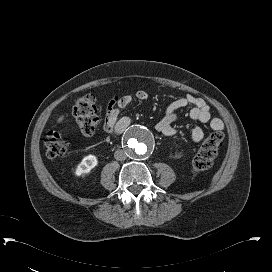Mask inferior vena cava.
Here are the masks:
<instances>
[{
	"label": "inferior vena cava",
	"instance_id": "inferior-vena-cava-1",
	"mask_svg": "<svg viewBox=\"0 0 272 272\" xmlns=\"http://www.w3.org/2000/svg\"><path fill=\"white\" fill-rule=\"evenodd\" d=\"M114 157L118 161H123L127 158V154L124 150L118 149L115 151Z\"/></svg>",
	"mask_w": 272,
	"mask_h": 272
}]
</instances>
